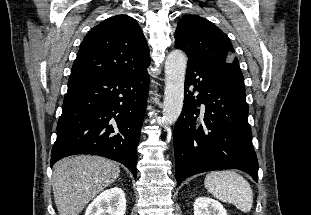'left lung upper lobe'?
<instances>
[{
	"label": "left lung upper lobe",
	"instance_id": "obj_1",
	"mask_svg": "<svg viewBox=\"0 0 311 215\" xmlns=\"http://www.w3.org/2000/svg\"><path fill=\"white\" fill-rule=\"evenodd\" d=\"M175 48L188 60L205 67L224 83L245 91L239 61L228 36L213 23L197 15H184L175 32Z\"/></svg>",
	"mask_w": 311,
	"mask_h": 215
}]
</instances>
